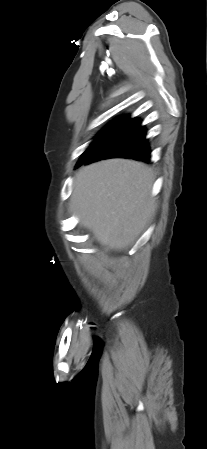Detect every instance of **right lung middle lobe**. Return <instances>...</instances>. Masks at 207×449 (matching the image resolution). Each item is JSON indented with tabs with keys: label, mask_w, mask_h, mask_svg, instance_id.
Here are the masks:
<instances>
[{
	"label": "right lung middle lobe",
	"mask_w": 207,
	"mask_h": 449,
	"mask_svg": "<svg viewBox=\"0 0 207 449\" xmlns=\"http://www.w3.org/2000/svg\"><path fill=\"white\" fill-rule=\"evenodd\" d=\"M133 119L128 116H123L118 118L107 127H105L100 134L97 135L94 142L89 146V148L82 154L78 164L84 162L87 158L92 156L96 151H98L107 141H109L114 135L124 129ZM77 164V165H78Z\"/></svg>",
	"instance_id": "dd1d6c3e"
}]
</instances>
